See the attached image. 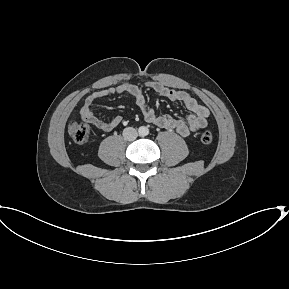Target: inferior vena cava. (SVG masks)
Segmentation results:
<instances>
[{"instance_id": "1", "label": "inferior vena cava", "mask_w": 289, "mask_h": 289, "mask_svg": "<svg viewBox=\"0 0 289 289\" xmlns=\"http://www.w3.org/2000/svg\"><path fill=\"white\" fill-rule=\"evenodd\" d=\"M138 133L135 128L127 127L123 130V137L125 140L133 141L137 138Z\"/></svg>"}]
</instances>
